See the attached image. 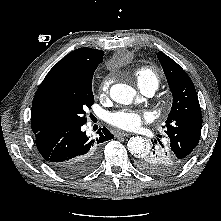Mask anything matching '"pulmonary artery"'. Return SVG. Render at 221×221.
Wrapping results in <instances>:
<instances>
[{"mask_svg": "<svg viewBox=\"0 0 221 221\" xmlns=\"http://www.w3.org/2000/svg\"><path fill=\"white\" fill-rule=\"evenodd\" d=\"M141 92L146 96H152L155 93L156 88L153 86L139 87Z\"/></svg>", "mask_w": 221, "mask_h": 221, "instance_id": "e3ab8cb5", "label": "pulmonary artery"}]
</instances>
